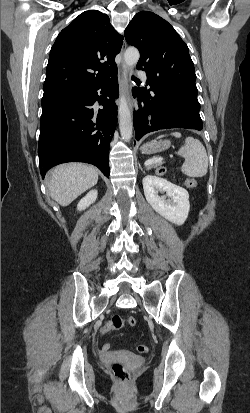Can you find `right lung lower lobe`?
Here are the masks:
<instances>
[{"label":"right lung lower lobe","instance_id":"1","mask_svg":"<svg viewBox=\"0 0 250 413\" xmlns=\"http://www.w3.org/2000/svg\"><path fill=\"white\" fill-rule=\"evenodd\" d=\"M118 91L116 70L92 87L43 96L38 144L42 178L51 167L72 161L93 164L109 177V143L117 123ZM97 101L102 108L96 107Z\"/></svg>","mask_w":250,"mask_h":413}]
</instances>
